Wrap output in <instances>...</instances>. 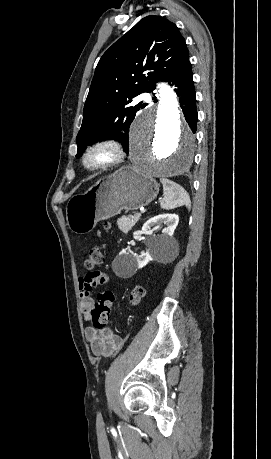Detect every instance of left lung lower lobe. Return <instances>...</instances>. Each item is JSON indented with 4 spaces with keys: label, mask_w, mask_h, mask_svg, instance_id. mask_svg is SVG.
Returning <instances> with one entry per match:
<instances>
[{
    "label": "left lung lower lobe",
    "mask_w": 271,
    "mask_h": 459,
    "mask_svg": "<svg viewBox=\"0 0 271 459\" xmlns=\"http://www.w3.org/2000/svg\"><path fill=\"white\" fill-rule=\"evenodd\" d=\"M164 81L175 86L174 91L179 97L180 106L187 123L193 133L196 132L197 110H196V95L193 82L192 65L188 60L181 64L169 77ZM155 100V97H153ZM157 100H155L156 102ZM144 106L142 105V108Z\"/></svg>",
    "instance_id": "0a47b994"
}]
</instances>
